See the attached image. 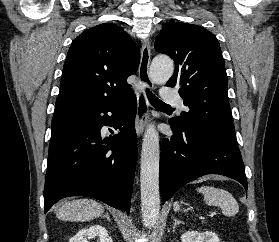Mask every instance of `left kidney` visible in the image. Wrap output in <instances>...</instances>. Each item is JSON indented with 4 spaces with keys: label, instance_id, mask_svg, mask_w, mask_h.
Returning <instances> with one entry per match:
<instances>
[{
    "label": "left kidney",
    "instance_id": "5707ae66",
    "mask_svg": "<svg viewBox=\"0 0 279 242\" xmlns=\"http://www.w3.org/2000/svg\"><path fill=\"white\" fill-rule=\"evenodd\" d=\"M182 242H220L218 236L212 231H187L181 235Z\"/></svg>",
    "mask_w": 279,
    "mask_h": 242
}]
</instances>
